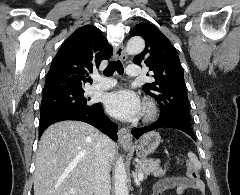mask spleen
I'll return each instance as SVG.
<instances>
[{"label": "spleen", "mask_w": 240, "mask_h": 195, "mask_svg": "<svg viewBox=\"0 0 240 195\" xmlns=\"http://www.w3.org/2000/svg\"><path fill=\"white\" fill-rule=\"evenodd\" d=\"M188 157H189L190 161H192L195 169H201V163H200L197 155H195V153H193V151H189Z\"/></svg>", "instance_id": "3e777b00"}]
</instances>
